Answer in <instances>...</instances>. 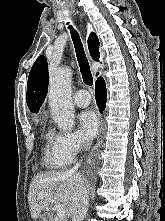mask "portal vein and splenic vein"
Masks as SVG:
<instances>
[{"instance_id": "obj_1", "label": "portal vein and splenic vein", "mask_w": 165, "mask_h": 221, "mask_svg": "<svg viewBox=\"0 0 165 221\" xmlns=\"http://www.w3.org/2000/svg\"><path fill=\"white\" fill-rule=\"evenodd\" d=\"M50 194L47 193V192H41L39 195H38V198L41 199V198H44V197H49ZM56 215L59 217V218H65L66 216V210L63 206H58L56 208Z\"/></svg>"}]
</instances>
